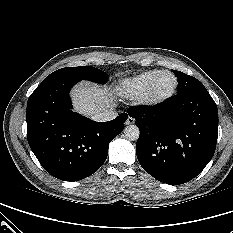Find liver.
Segmentation results:
<instances>
[{
  "label": "liver",
  "instance_id": "liver-1",
  "mask_svg": "<svg viewBox=\"0 0 233 233\" xmlns=\"http://www.w3.org/2000/svg\"><path fill=\"white\" fill-rule=\"evenodd\" d=\"M71 96L75 110L89 117L115 106L112 91L107 87L100 88L88 82L76 86Z\"/></svg>",
  "mask_w": 233,
  "mask_h": 233
}]
</instances>
